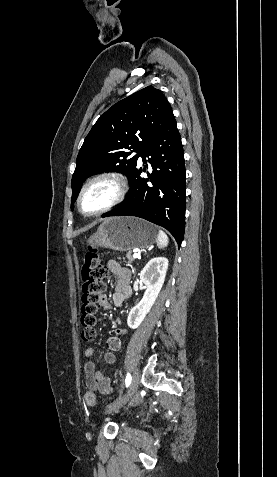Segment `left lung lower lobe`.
Segmentation results:
<instances>
[{
	"label": "left lung lower lobe",
	"instance_id": "left-lung-lower-lobe-1",
	"mask_svg": "<svg viewBox=\"0 0 277 477\" xmlns=\"http://www.w3.org/2000/svg\"><path fill=\"white\" fill-rule=\"evenodd\" d=\"M152 174L141 178L137 168L130 179L128 200L102 217L137 216L166 228L181 245L185 230L186 177L181 137L173 117L140 152ZM146 167L143 171L146 172Z\"/></svg>",
	"mask_w": 277,
	"mask_h": 477
}]
</instances>
